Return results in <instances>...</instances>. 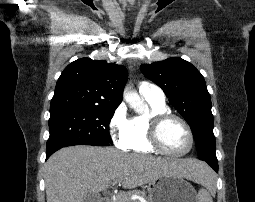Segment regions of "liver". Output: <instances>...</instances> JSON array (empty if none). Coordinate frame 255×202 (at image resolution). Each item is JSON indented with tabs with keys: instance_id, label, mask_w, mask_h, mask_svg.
I'll use <instances>...</instances> for the list:
<instances>
[{
	"instance_id": "liver-1",
	"label": "liver",
	"mask_w": 255,
	"mask_h": 202,
	"mask_svg": "<svg viewBox=\"0 0 255 202\" xmlns=\"http://www.w3.org/2000/svg\"><path fill=\"white\" fill-rule=\"evenodd\" d=\"M196 159L157 158L128 154L111 147L71 146L55 152L45 165L47 202H83L112 183L134 188L174 174L198 182Z\"/></svg>"
}]
</instances>
